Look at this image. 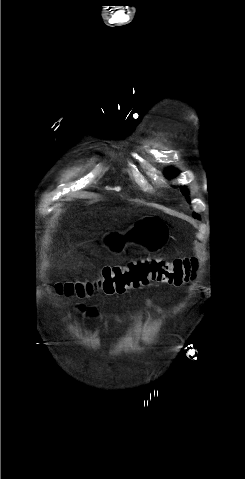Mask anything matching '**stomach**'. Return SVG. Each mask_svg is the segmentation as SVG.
<instances>
[{
	"mask_svg": "<svg viewBox=\"0 0 245 479\" xmlns=\"http://www.w3.org/2000/svg\"><path fill=\"white\" fill-rule=\"evenodd\" d=\"M168 226L161 219L148 216L124 233H110L105 237V243L113 253L122 252L127 244L137 243L148 251L160 249L168 239Z\"/></svg>",
	"mask_w": 245,
	"mask_h": 479,
	"instance_id": "1",
	"label": "stomach"
}]
</instances>
